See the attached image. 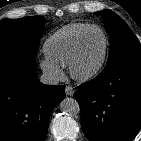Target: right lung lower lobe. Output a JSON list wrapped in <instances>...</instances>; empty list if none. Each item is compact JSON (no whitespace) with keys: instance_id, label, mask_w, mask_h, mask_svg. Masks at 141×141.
Listing matches in <instances>:
<instances>
[{"instance_id":"right-lung-lower-lobe-1","label":"right lung lower lobe","mask_w":141,"mask_h":141,"mask_svg":"<svg viewBox=\"0 0 141 141\" xmlns=\"http://www.w3.org/2000/svg\"><path fill=\"white\" fill-rule=\"evenodd\" d=\"M64 98V86L39 82L35 55H1L0 141H44L50 112Z\"/></svg>"}]
</instances>
